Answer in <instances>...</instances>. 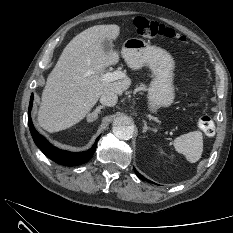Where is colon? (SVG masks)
<instances>
[{
    "mask_svg": "<svg viewBox=\"0 0 233 233\" xmlns=\"http://www.w3.org/2000/svg\"><path fill=\"white\" fill-rule=\"evenodd\" d=\"M136 32L147 38L163 37L167 39H177L182 43L186 42L184 36H180L169 27L164 26L156 21L144 18L136 17L133 21ZM200 130L208 136H211L215 132V124L210 116L204 115L200 117L198 121Z\"/></svg>",
    "mask_w": 233,
    "mask_h": 233,
    "instance_id": "obj_1",
    "label": "colon"
}]
</instances>
